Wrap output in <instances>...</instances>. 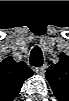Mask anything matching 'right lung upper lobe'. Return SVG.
<instances>
[{
    "mask_svg": "<svg viewBox=\"0 0 69 101\" xmlns=\"http://www.w3.org/2000/svg\"><path fill=\"white\" fill-rule=\"evenodd\" d=\"M32 75V70L25 62L16 63L9 56L0 63V92L7 99L13 100L20 92L23 82Z\"/></svg>",
    "mask_w": 69,
    "mask_h": 101,
    "instance_id": "right-lung-upper-lobe-1",
    "label": "right lung upper lobe"
}]
</instances>
